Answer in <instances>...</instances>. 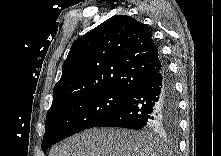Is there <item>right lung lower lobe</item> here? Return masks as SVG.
<instances>
[{
	"label": "right lung lower lobe",
	"mask_w": 221,
	"mask_h": 156,
	"mask_svg": "<svg viewBox=\"0 0 221 156\" xmlns=\"http://www.w3.org/2000/svg\"><path fill=\"white\" fill-rule=\"evenodd\" d=\"M178 123L177 92L164 67L137 85L127 101L96 127L153 128L176 132Z\"/></svg>",
	"instance_id": "obj_1"
}]
</instances>
